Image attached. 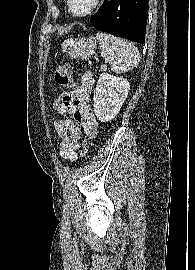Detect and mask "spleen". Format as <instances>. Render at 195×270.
Segmentation results:
<instances>
[{
    "instance_id": "3e777b00",
    "label": "spleen",
    "mask_w": 195,
    "mask_h": 270,
    "mask_svg": "<svg viewBox=\"0 0 195 270\" xmlns=\"http://www.w3.org/2000/svg\"><path fill=\"white\" fill-rule=\"evenodd\" d=\"M96 38L101 56L110 64L111 71L123 73L138 66L140 54L131 42L107 33H97Z\"/></svg>"
}]
</instances>
